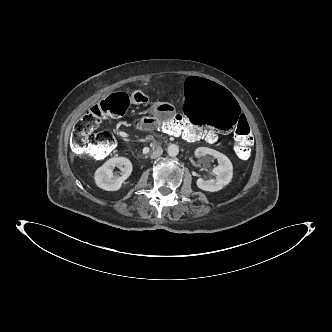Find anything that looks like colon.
<instances>
[{
    "label": "colon",
    "instance_id": "obj_1",
    "mask_svg": "<svg viewBox=\"0 0 332 332\" xmlns=\"http://www.w3.org/2000/svg\"><path fill=\"white\" fill-rule=\"evenodd\" d=\"M188 117L175 114L171 121L158 120L155 128L169 135H179L194 128V125L208 128L217 135H226L234 129V151L237 157H249L252 136L250 126L241 119V111L236 98L217 83L203 77L191 78L184 87ZM134 103L131 93L116 92L108 95L75 124L71 136V150L76 156L86 155L96 160L109 156L116 141L109 130H98L108 117L125 114Z\"/></svg>",
    "mask_w": 332,
    "mask_h": 332
}]
</instances>
